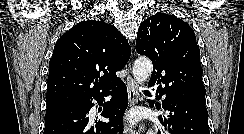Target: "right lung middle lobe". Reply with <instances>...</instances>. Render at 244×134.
<instances>
[{
  "mask_svg": "<svg viewBox=\"0 0 244 134\" xmlns=\"http://www.w3.org/2000/svg\"><path fill=\"white\" fill-rule=\"evenodd\" d=\"M75 99H72V98H59V99H54V100H50V101H47V110L49 109H52L54 107H57V106H61V105H64L70 101H73Z\"/></svg>",
  "mask_w": 244,
  "mask_h": 134,
  "instance_id": "obj_1",
  "label": "right lung middle lobe"
}]
</instances>
